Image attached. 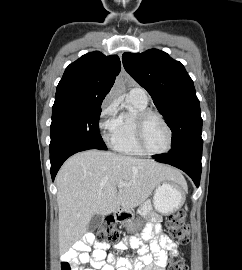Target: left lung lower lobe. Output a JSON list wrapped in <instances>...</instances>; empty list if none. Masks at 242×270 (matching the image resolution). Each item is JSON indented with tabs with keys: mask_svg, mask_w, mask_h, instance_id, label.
Wrapping results in <instances>:
<instances>
[{
	"mask_svg": "<svg viewBox=\"0 0 242 270\" xmlns=\"http://www.w3.org/2000/svg\"><path fill=\"white\" fill-rule=\"evenodd\" d=\"M156 161L170 164L187 173L198 187L201 177L202 144L185 148L174 154L152 156Z\"/></svg>",
	"mask_w": 242,
	"mask_h": 270,
	"instance_id": "obj_1",
	"label": "left lung lower lobe"
}]
</instances>
